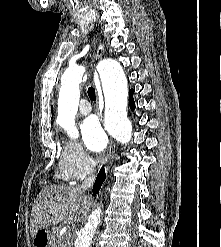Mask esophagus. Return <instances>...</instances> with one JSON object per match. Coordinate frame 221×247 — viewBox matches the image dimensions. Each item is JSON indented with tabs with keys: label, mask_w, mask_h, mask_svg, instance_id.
I'll list each match as a JSON object with an SVG mask.
<instances>
[{
	"label": "esophagus",
	"mask_w": 221,
	"mask_h": 247,
	"mask_svg": "<svg viewBox=\"0 0 221 247\" xmlns=\"http://www.w3.org/2000/svg\"><path fill=\"white\" fill-rule=\"evenodd\" d=\"M104 53V45L100 42L97 48V58H100ZM102 98L99 95V101H101ZM114 154H115V145L114 142L112 140H110L109 142V146H108V150H107V154L104 157L105 162L107 164V168H109L110 164L113 161L114 158Z\"/></svg>",
	"instance_id": "34e87169"
}]
</instances>
